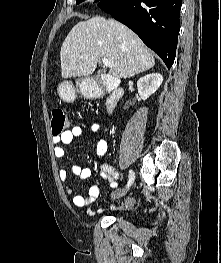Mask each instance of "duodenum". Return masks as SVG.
Segmentation results:
<instances>
[{
  "mask_svg": "<svg viewBox=\"0 0 221 263\" xmlns=\"http://www.w3.org/2000/svg\"><path fill=\"white\" fill-rule=\"evenodd\" d=\"M100 91L109 92V95L105 102V108L107 112H112L120 99L124 95L123 89L120 87L119 80L107 74H103L99 78Z\"/></svg>",
  "mask_w": 221,
  "mask_h": 263,
  "instance_id": "duodenum-1",
  "label": "duodenum"
}]
</instances>
